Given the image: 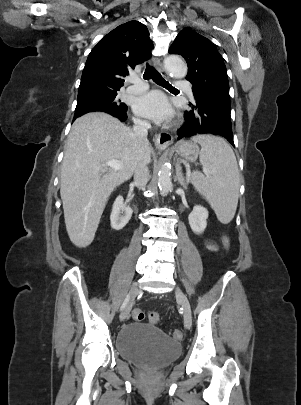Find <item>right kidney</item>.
Listing matches in <instances>:
<instances>
[{
	"instance_id": "obj_1",
	"label": "right kidney",
	"mask_w": 301,
	"mask_h": 405,
	"mask_svg": "<svg viewBox=\"0 0 301 405\" xmlns=\"http://www.w3.org/2000/svg\"><path fill=\"white\" fill-rule=\"evenodd\" d=\"M132 213V209L124 203L123 197L118 196L114 201L110 215L111 227L114 230H121L129 222Z\"/></svg>"
}]
</instances>
